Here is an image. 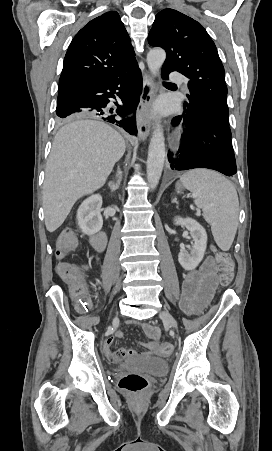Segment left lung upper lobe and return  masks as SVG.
I'll list each match as a JSON object with an SVG mask.
<instances>
[{
  "mask_svg": "<svg viewBox=\"0 0 272 451\" xmlns=\"http://www.w3.org/2000/svg\"><path fill=\"white\" fill-rule=\"evenodd\" d=\"M148 43L165 49L163 69L178 71L189 79L190 103H185L184 113L205 110L229 123L224 67L200 23L174 9H164L155 17Z\"/></svg>",
  "mask_w": 272,
  "mask_h": 451,
  "instance_id": "5c2ea615",
  "label": "left lung upper lobe"
}]
</instances>
